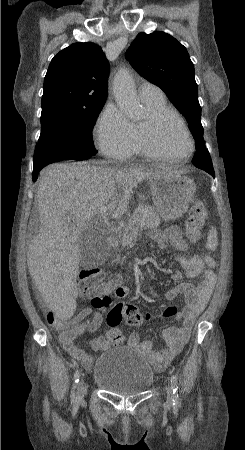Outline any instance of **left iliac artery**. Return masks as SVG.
Returning <instances> with one entry per match:
<instances>
[{
  "mask_svg": "<svg viewBox=\"0 0 245 450\" xmlns=\"http://www.w3.org/2000/svg\"><path fill=\"white\" fill-rule=\"evenodd\" d=\"M171 384L173 388V402L174 404H179V395H178V382L177 377L175 375H171Z\"/></svg>",
  "mask_w": 245,
  "mask_h": 450,
  "instance_id": "1",
  "label": "left iliac artery"
}]
</instances>
